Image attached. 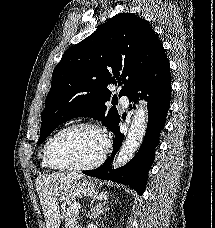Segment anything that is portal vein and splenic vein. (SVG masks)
Wrapping results in <instances>:
<instances>
[{"mask_svg":"<svg viewBox=\"0 0 215 228\" xmlns=\"http://www.w3.org/2000/svg\"><path fill=\"white\" fill-rule=\"evenodd\" d=\"M73 210H80V206H79V204H74V206H73Z\"/></svg>","mask_w":215,"mask_h":228,"instance_id":"1","label":"portal vein and splenic vein"}]
</instances>
